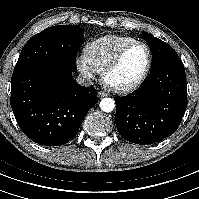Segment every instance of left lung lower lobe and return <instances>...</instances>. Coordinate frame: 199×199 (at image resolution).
Masks as SVG:
<instances>
[{"mask_svg":"<svg viewBox=\"0 0 199 199\" xmlns=\"http://www.w3.org/2000/svg\"><path fill=\"white\" fill-rule=\"evenodd\" d=\"M115 123L129 142L150 144L172 135L187 107L186 75L179 57L150 70L131 95L117 97Z\"/></svg>","mask_w":199,"mask_h":199,"instance_id":"1","label":"left lung lower lobe"}]
</instances>
